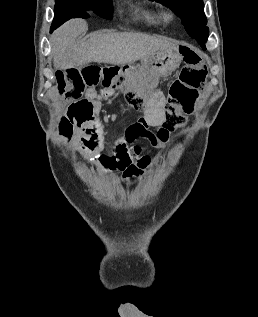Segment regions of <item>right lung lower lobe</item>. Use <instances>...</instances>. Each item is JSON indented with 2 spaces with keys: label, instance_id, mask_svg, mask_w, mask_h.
Masks as SVG:
<instances>
[{
  "label": "right lung lower lobe",
  "instance_id": "right-lung-lower-lobe-1",
  "mask_svg": "<svg viewBox=\"0 0 258 317\" xmlns=\"http://www.w3.org/2000/svg\"><path fill=\"white\" fill-rule=\"evenodd\" d=\"M54 13L55 17L50 32H52L54 29L59 27L70 18H88L92 13L99 15V12L97 10H88L85 9L83 6L75 3H62L55 5Z\"/></svg>",
  "mask_w": 258,
  "mask_h": 317
}]
</instances>
